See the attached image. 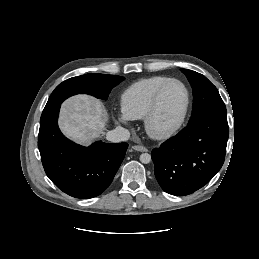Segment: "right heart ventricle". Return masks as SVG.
Returning a JSON list of instances; mask_svg holds the SVG:
<instances>
[{
    "mask_svg": "<svg viewBox=\"0 0 259 259\" xmlns=\"http://www.w3.org/2000/svg\"><path fill=\"white\" fill-rule=\"evenodd\" d=\"M167 79L166 76H152L131 84L120 96L122 111L131 119L144 118L156 89Z\"/></svg>",
    "mask_w": 259,
    "mask_h": 259,
    "instance_id": "right-heart-ventricle-1",
    "label": "right heart ventricle"
}]
</instances>
